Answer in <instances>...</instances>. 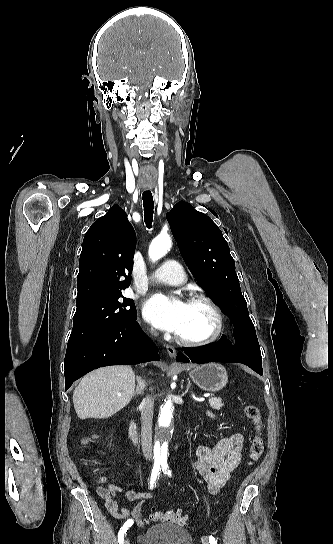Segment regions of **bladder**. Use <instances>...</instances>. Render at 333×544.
Returning <instances> with one entry per match:
<instances>
[{
    "label": "bladder",
    "mask_w": 333,
    "mask_h": 544,
    "mask_svg": "<svg viewBox=\"0 0 333 544\" xmlns=\"http://www.w3.org/2000/svg\"><path fill=\"white\" fill-rule=\"evenodd\" d=\"M140 544H194L189 531L173 524L148 527L139 539Z\"/></svg>",
    "instance_id": "31cf9c89"
}]
</instances>
